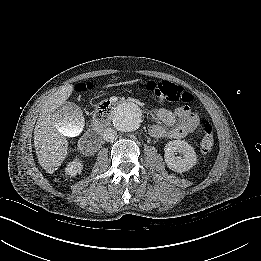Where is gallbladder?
Segmentation results:
<instances>
[{
    "instance_id": "bac80fb5",
    "label": "gallbladder",
    "mask_w": 261,
    "mask_h": 261,
    "mask_svg": "<svg viewBox=\"0 0 261 261\" xmlns=\"http://www.w3.org/2000/svg\"><path fill=\"white\" fill-rule=\"evenodd\" d=\"M52 125L56 131L68 138L78 137L86 126V118L82 108L72 102L61 105L52 117Z\"/></svg>"
}]
</instances>
